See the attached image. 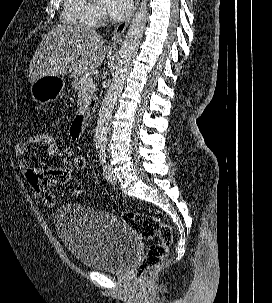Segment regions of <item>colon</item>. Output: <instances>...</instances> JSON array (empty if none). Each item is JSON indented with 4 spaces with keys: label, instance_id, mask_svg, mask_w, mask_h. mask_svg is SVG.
<instances>
[{
    "label": "colon",
    "instance_id": "colon-1",
    "mask_svg": "<svg viewBox=\"0 0 272 303\" xmlns=\"http://www.w3.org/2000/svg\"><path fill=\"white\" fill-rule=\"evenodd\" d=\"M36 135L38 145L45 150L58 148L57 138L51 131H42ZM73 165L77 171H85L87 167L85 156L82 154L75 155ZM26 177L41 202L47 206H52L55 201L53 194L40 189L33 170H29L26 173ZM74 193L81 194L82 191L75 190ZM122 220L134 229L141 238L158 239L157 242L149 246L147 253L137 268L138 277L143 279L167 256L169 247L173 241V230L169 225L162 223L157 217L139 212L127 211L122 214Z\"/></svg>",
    "mask_w": 272,
    "mask_h": 303
}]
</instances>
